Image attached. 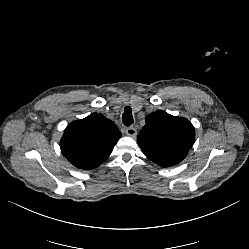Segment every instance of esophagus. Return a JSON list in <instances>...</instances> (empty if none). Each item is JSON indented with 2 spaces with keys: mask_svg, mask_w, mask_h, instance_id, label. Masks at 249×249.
<instances>
[{
  "mask_svg": "<svg viewBox=\"0 0 249 249\" xmlns=\"http://www.w3.org/2000/svg\"><path fill=\"white\" fill-rule=\"evenodd\" d=\"M126 134L131 137H136L137 136V129L133 126H129L125 130Z\"/></svg>",
  "mask_w": 249,
  "mask_h": 249,
  "instance_id": "34e87169",
  "label": "esophagus"
}]
</instances>
